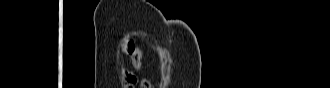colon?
<instances>
[{"label": "colon", "instance_id": "obj_1", "mask_svg": "<svg viewBox=\"0 0 330 88\" xmlns=\"http://www.w3.org/2000/svg\"><path fill=\"white\" fill-rule=\"evenodd\" d=\"M132 49H133V44H129L127 50L132 51Z\"/></svg>", "mask_w": 330, "mask_h": 88}]
</instances>
